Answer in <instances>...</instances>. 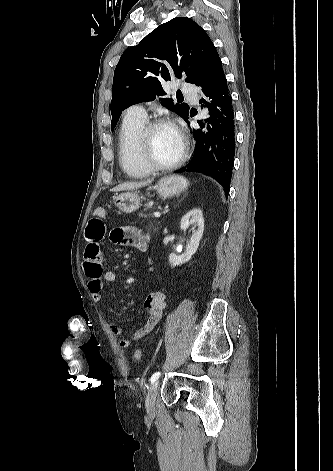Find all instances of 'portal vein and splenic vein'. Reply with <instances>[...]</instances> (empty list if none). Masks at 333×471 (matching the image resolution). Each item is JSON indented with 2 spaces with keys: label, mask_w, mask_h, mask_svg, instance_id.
<instances>
[{
  "label": "portal vein and splenic vein",
  "mask_w": 333,
  "mask_h": 471,
  "mask_svg": "<svg viewBox=\"0 0 333 471\" xmlns=\"http://www.w3.org/2000/svg\"><path fill=\"white\" fill-rule=\"evenodd\" d=\"M154 216H155L156 218H159V217L161 216V214H160V212H155V213H154Z\"/></svg>",
  "instance_id": "1"
}]
</instances>
